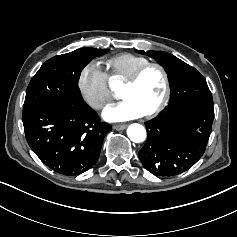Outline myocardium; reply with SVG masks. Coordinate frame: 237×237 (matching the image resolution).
<instances>
[{"label":"myocardium","instance_id":"myocardium-1","mask_svg":"<svg viewBox=\"0 0 237 237\" xmlns=\"http://www.w3.org/2000/svg\"><path fill=\"white\" fill-rule=\"evenodd\" d=\"M150 68H157L162 73L163 78H164L165 91H164V95H163V98L160 101V103L153 110H151L150 112H147L143 115L146 118H151V117L158 115L160 112H162L165 109V107L167 106V104L170 100L171 82H170V77H169L168 71L160 63L149 62V63L143 65L142 67H140L136 72H134L128 79H126L124 81V86L135 85L141 79L143 74Z\"/></svg>","mask_w":237,"mask_h":237}]
</instances>
